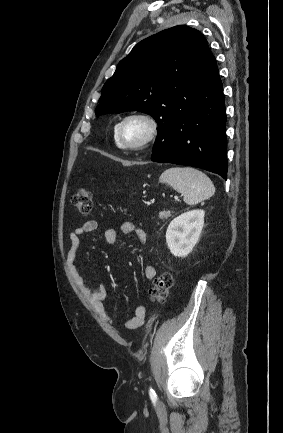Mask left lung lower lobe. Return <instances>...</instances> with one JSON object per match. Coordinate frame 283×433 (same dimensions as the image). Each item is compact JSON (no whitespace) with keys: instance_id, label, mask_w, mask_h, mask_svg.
Returning <instances> with one entry per match:
<instances>
[{"instance_id":"left-lung-lower-lobe-1","label":"left lung lower lobe","mask_w":283,"mask_h":433,"mask_svg":"<svg viewBox=\"0 0 283 433\" xmlns=\"http://www.w3.org/2000/svg\"><path fill=\"white\" fill-rule=\"evenodd\" d=\"M195 100L188 113L158 129L151 160L203 168L226 179L224 95L212 54L197 78Z\"/></svg>"}]
</instances>
